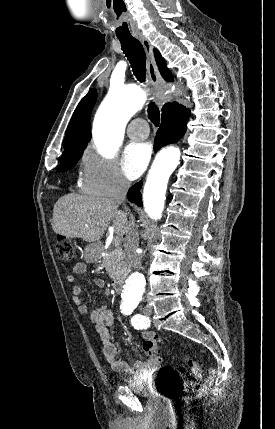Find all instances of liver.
I'll return each mask as SVG.
<instances>
[{
  "mask_svg": "<svg viewBox=\"0 0 275 429\" xmlns=\"http://www.w3.org/2000/svg\"><path fill=\"white\" fill-rule=\"evenodd\" d=\"M113 199L67 194L53 208L52 229L55 233L85 241H98L112 222L115 233H126L127 214Z\"/></svg>",
  "mask_w": 275,
  "mask_h": 429,
  "instance_id": "1",
  "label": "liver"
}]
</instances>
